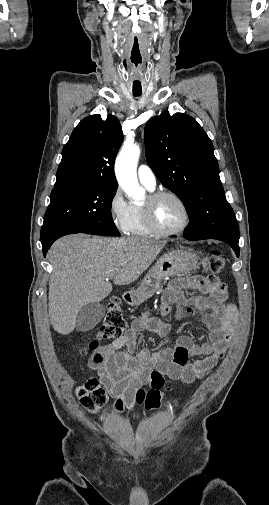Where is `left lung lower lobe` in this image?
I'll use <instances>...</instances> for the list:
<instances>
[{"mask_svg":"<svg viewBox=\"0 0 269 505\" xmlns=\"http://www.w3.org/2000/svg\"><path fill=\"white\" fill-rule=\"evenodd\" d=\"M185 238L188 240H201V239H192V238H187V237H185ZM208 239H217V240H221V241L228 243L235 251L237 257H239V252H240L239 246H238L239 239L226 237V236H218V237H213V238H208Z\"/></svg>","mask_w":269,"mask_h":505,"instance_id":"left-lung-lower-lobe-1","label":"left lung lower lobe"}]
</instances>
